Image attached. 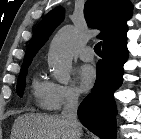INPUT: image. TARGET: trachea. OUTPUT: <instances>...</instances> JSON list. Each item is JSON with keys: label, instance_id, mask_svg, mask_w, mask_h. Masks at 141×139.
I'll return each instance as SVG.
<instances>
[{"label": "trachea", "instance_id": "1", "mask_svg": "<svg viewBox=\"0 0 141 139\" xmlns=\"http://www.w3.org/2000/svg\"><path fill=\"white\" fill-rule=\"evenodd\" d=\"M101 44L102 42H98L95 47H94V51L96 54L100 55L101 54Z\"/></svg>", "mask_w": 141, "mask_h": 139}]
</instances>
